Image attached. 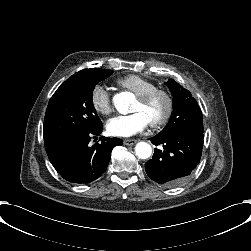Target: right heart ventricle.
Here are the masks:
<instances>
[{"label":"right heart ventricle","mask_w":251,"mask_h":251,"mask_svg":"<svg viewBox=\"0 0 251 251\" xmlns=\"http://www.w3.org/2000/svg\"><path fill=\"white\" fill-rule=\"evenodd\" d=\"M118 83L130 89L137 95L142 93L148 92L149 90L156 87V85L149 79L144 76L137 75V74H130L123 78H121Z\"/></svg>","instance_id":"e07e8e85"}]
</instances>
